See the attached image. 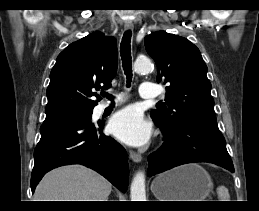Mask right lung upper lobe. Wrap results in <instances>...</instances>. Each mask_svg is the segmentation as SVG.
Here are the masks:
<instances>
[{
	"instance_id": "1",
	"label": "right lung upper lobe",
	"mask_w": 259,
	"mask_h": 211,
	"mask_svg": "<svg viewBox=\"0 0 259 211\" xmlns=\"http://www.w3.org/2000/svg\"><path fill=\"white\" fill-rule=\"evenodd\" d=\"M117 48L114 37L94 32L70 44L57 57L47 89L46 119L92 112L97 101L91 100L99 90L111 87L117 71Z\"/></svg>"
}]
</instances>
